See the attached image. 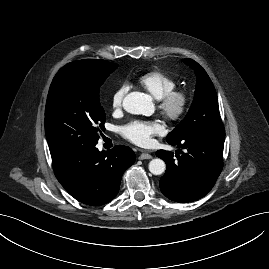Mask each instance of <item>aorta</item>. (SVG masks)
Returning a JSON list of instances; mask_svg holds the SVG:
<instances>
[{
	"mask_svg": "<svg viewBox=\"0 0 269 269\" xmlns=\"http://www.w3.org/2000/svg\"><path fill=\"white\" fill-rule=\"evenodd\" d=\"M124 109L131 114L149 116L153 112L151 96L141 92H131L123 100ZM149 171L154 175H161L166 164L162 159L156 158L149 162Z\"/></svg>",
	"mask_w": 269,
	"mask_h": 269,
	"instance_id": "1",
	"label": "aorta"
}]
</instances>
